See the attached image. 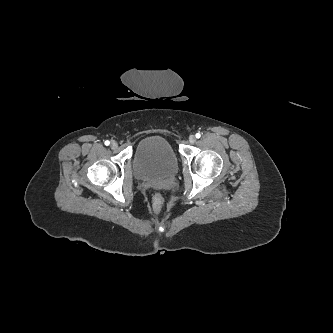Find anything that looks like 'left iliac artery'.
Returning <instances> with one entry per match:
<instances>
[{"label":"left iliac artery","instance_id":"1","mask_svg":"<svg viewBox=\"0 0 333 333\" xmlns=\"http://www.w3.org/2000/svg\"><path fill=\"white\" fill-rule=\"evenodd\" d=\"M196 138H200L201 137V134L200 133H196Z\"/></svg>","mask_w":333,"mask_h":333}]
</instances>
